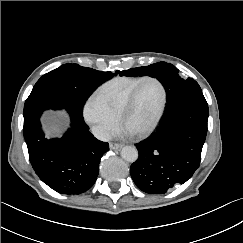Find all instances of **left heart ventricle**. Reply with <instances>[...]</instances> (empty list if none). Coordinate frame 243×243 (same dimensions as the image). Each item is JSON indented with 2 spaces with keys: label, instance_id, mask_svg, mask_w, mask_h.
<instances>
[{
  "label": "left heart ventricle",
  "instance_id": "left-heart-ventricle-1",
  "mask_svg": "<svg viewBox=\"0 0 243 243\" xmlns=\"http://www.w3.org/2000/svg\"><path fill=\"white\" fill-rule=\"evenodd\" d=\"M162 101V90L154 81L145 82L139 89L124 126L131 132L146 127L154 118Z\"/></svg>",
  "mask_w": 243,
  "mask_h": 243
}]
</instances>
